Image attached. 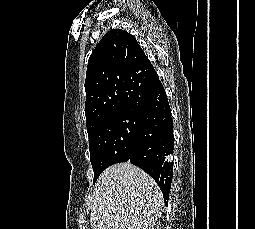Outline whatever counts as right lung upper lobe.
Returning a JSON list of instances; mask_svg holds the SVG:
<instances>
[{
    "label": "right lung upper lobe",
    "mask_w": 255,
    "mask_h": 229,
    "mask_svg": "<svg viewBox=\"0 0 255 229\" xmlns=\"http://www.w3.org/2000/svg\"><path fill=\"white\" fill-rule=\"evenodd\" d=\"M156 74L133 35L122 29L107 32L92 52L87 66L88 136L136 101Z\"/></svg>",
    "instance_id": "1"
}]
</instances>
